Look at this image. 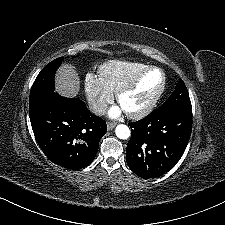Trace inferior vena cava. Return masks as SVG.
I'll list each match as a JSON object with an SVG mask.
<instances>
[{
  "label": "inferior vena cava",
  "instance_id": "inferior-vena-cava-1",
  "mask_svg": "<svg viewBox=\"0 0 225 225\" xmlns=\"http://www.w3.org/2000/svg\"><path fill=\"white\" fill-rule=\"evenodd\" d=\"M89 110L94 114H104L107 110V104L103 101L89 102Z\"/></svg>",
  "mask_w": 225,
  "mask_h": 225
}]
</instances>
